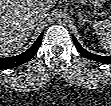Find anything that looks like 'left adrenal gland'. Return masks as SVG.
Wrapping results in <instances>:
<instances>
[{
  "label": "left adrenal gland",
  "instance_id": "left-adrenal-gland-1",
  "mask_svg": "<svg viewBox=\"0 0 111 106\" xmlns=\"http://www.w3.org/2000/svg\"><path fill=\"white\" fill-rule=\"evenodd\" d=\"M78 16H79V21H80L81 23H85V22L88 21L87 18H84V17L82 16L81 12H78Z\"/></svg>",
  "mask_w": 111,
  "mask_h": 106
}]
</instances>
